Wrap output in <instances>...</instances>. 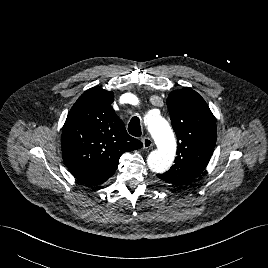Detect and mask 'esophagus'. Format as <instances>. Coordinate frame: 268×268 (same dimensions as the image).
I'll use <instances>...</instances> for the list:
<instances>
[{
  "label": "esophagus",
  "mask_w": 268,
  "mask_h": 268,
  "mask_svg": "<svg viewBox=\"0 0 268 268\" xmlns=\"http://www.w3.org/2000/svg\"><path fill=\"white\" fill-rule=\"evenodd\" d=\"M142 143H143V147L145 149L151 148L153 146V141H152V139L150 137H144L142 139Z\"/></svg>",
  "instance_id": "obj_1"
}]
</instances>
